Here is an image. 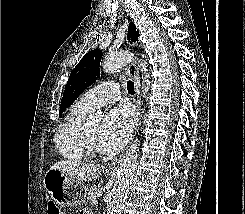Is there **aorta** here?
<instances>
[{
    "label": "aorta",
    "instance_id": "obj_1",
    "mask_svg": "<svg viewBox=\"0 0 245 214\" xmlns=\"http://www.w3.org/2000/svg\"><path fill=\"white\" fill-rule=\"evenodd\" d=\"M132 60V56L128 52H117L107 56L103 62L102 69L106 73H111L115 70H119L126 66ZM141 71H144L143 78V96L149 90V74L145 63H140ZM89 121L93 124H98L100 121V115L98 113L89 116ZM139 144L138 142L131 144L123 155L120 166L117 171L116 182L113 187V200H112V212L111 214H122L124 203L127 198V194L132 183L136 163L138 158Z\"/></svg>",
    "mask_w": 245,
    "mask_h": 214
}]
</instances>
